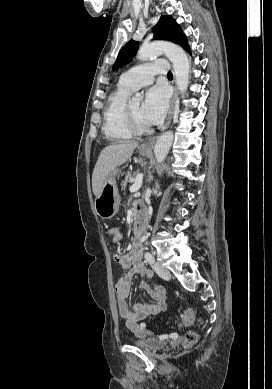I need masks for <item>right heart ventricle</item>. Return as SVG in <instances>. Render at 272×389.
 Segmentation results:
<instances>
[{
	"label": "right heart ventricle",
	"mask_w": 272,
	"mask_h": 389,
	"mask_svg": "<svg viewBox=\"0 0 272 389\" xmlns=\"http://www.w3.org/2000/svg\"><path fill=\"white\" fill-rule=\"evenodd\" d=\"M131 92V89L119 83L108 98L104 111L103 132L110 140L122 141L132 137L125 118L127 100Z\"/></svg>",
	"instance_id": "1"
}]
</instances>
